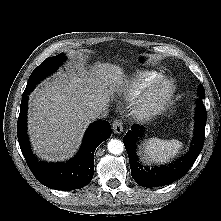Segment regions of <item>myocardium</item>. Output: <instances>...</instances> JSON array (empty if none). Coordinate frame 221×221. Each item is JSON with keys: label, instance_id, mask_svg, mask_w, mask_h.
Segmentation results:
<instances>
[{"label": "myocardium", "instance_id": "f54148a6", "mask_svg": "<svg viewBox=\"0 0 221 221\" xmlns=\"http://www.w3.org/2000/svg\"><path fill=\"white\" fill-rule=\"evenodd\" d=\"M175 92L176 83L172 78L158 77L138 96L134 106L135 115L142 120L158 115L169 105Z\"/></svg>", "mask_w": 221, "mask_h": 221}]
</instances>
